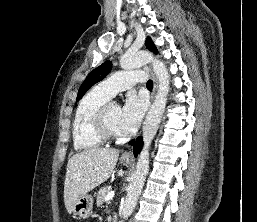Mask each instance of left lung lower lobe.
<instances>
[{"mask_svg": "<svg viewBox=\"0 0 257 222\" xmlns=\"http://www.w3.org/2000/svg\"><path fill=\"white\" fill-rule=\"evenodd\" d=\"M130 145H133V152L135 157H137L138 153H140L141 148L143 146L142 137H138L136 140H132L129 142Z\"/></svg>", "mask_w": 257, "mask_h": 222, "instance_id": "obj_1", "label": "left lung lower lobe"}]
</instances>
